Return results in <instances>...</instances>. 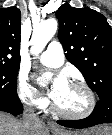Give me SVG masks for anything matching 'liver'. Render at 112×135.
Here are the masks:
<instances>
[{"label": "liver", "mask_w": 112, "mask_h": 135, "mask_svg": "<svg viewBox=\"0 0 112 135\" xmlns=\"http://www.w3.org/2000/svg\"><path fill=\"white\" fill-rule=\"evenodd\" d=\"M0 135H46V130L40 122L26 126L22 120L0 112Z\"/></svg>", "instance_id": "1"}]
</instances>
